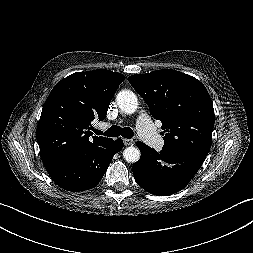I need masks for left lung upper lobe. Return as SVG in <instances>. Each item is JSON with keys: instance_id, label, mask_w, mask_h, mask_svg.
Returning a JSON list of instances; mask_svg holds the SVG:
<instances>
[{"instance_id": "obj_1", "label": "left lung upper lobe", "mask_w": 253, "mask_h": 253, "mask_svg": "<svg viewBox=\"0 0 253 253\" xmlns=\"http://www.w3.org/2000/svg\"><path fill=\"white\" fill-rule=\"evenodd\" d=\"M128 80L144 98L151 115L162 122L163 153L175 158L189 153L208 154L214 109L199 80L175 70L135 74Z\"/></svg>"}]
</instances>
